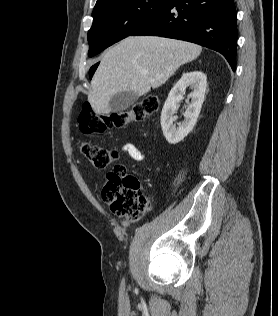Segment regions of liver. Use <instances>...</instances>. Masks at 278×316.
I'll list each match as a JSON object with an SVG mask.
<instances>
[{"instance_id":"6515ba94","label":"liver","mask_w":278,"mask_h":316,"mask_svg":"<svg viewBox=\"0 0 278 316\" xmlns=\"http://www.w3.org/2000/svg\"><path fill=\"white\" fill-rule=\"evenodd\" d=\"M202 47L158 36H129L103 56L92 80L88 101L99 114L110 113V99L131 91L138 96L163 85L183 64L196 59ZM147 72V73H144Z\"/></svg>"}]
</instances>
